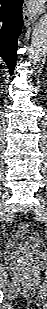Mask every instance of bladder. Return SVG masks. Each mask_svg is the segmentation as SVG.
I'll list each match as a JSON object with an SVG mask.
<instances>
[{
  "label": "bladder",
  "instance_id": "1",
  "mask_svg": "<svg viewBox=\"0 0 47 309\" xmlns=\"http://www.w3.org/2000/svg\"><path fill=\"white\" fill-rule=\"evenodd\" d=\"M44 243L43 237L29 227L21 229L11 235L6 243L10 250L31 251L40 248Z\"/></svg>",
  "mask_w": 47,
  "mask_h": 309
}]
</instances>
